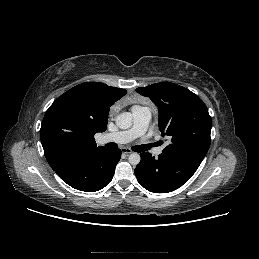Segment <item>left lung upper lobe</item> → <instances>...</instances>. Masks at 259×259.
<instances>
[{
	"label": "left lung upper lobe",
	"mask_w": 259,
	"mask_h": 259,
	"mask_svg": "<svg viewBox=\"0 0 259 259\" xmlns=\"http://www.w3.org/2000/svg\"><path fill=\"white\" fill-rule=\"evenodd\" d=\"M136 91L149 97L159 110V129L171 138L163 153L203 160L210 147L212 119L203 101L190 90L161 82Z\"/></svg>",
	"instance_id": "5c2ea615"
}]
</instances>
